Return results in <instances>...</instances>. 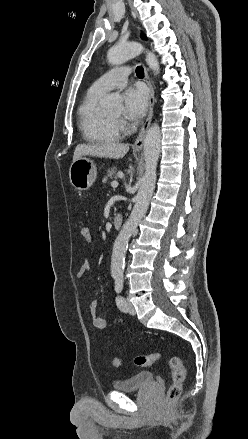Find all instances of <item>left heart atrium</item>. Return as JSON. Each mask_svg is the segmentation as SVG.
Wrapping results in <instances>:
<instances>
[{
  "label": "left heart atrium",
  "instance_id": "obj_1",
  "mask_svg": "<svg viewBox=\"0 0 248 439\" xmlns=\"http://www.w3.org/2000/svg\"><path fill=\"white\" fill-rule=\"evenodd\" d=\"M148 106V93L142 86H134L124 93V115L130 120L143 117Z\"/></svg>",
  "mask_w": 248,
  "mask_h": 439
}]
</instances>
